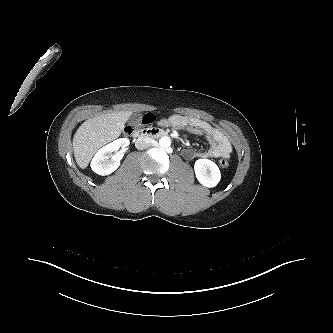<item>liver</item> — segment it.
<instances>
[{
  "instance_id": "liver-1",
  "label": "liver",
  "mask_w": 333,
  "mask_h": 333,
  "mask_svg": "<svg viewBox=\"0 0 333 333\" xmlns=\"http://www.w3.org/2000/svg\"><path fill=\"white\" fill-rule=\"evenodd\" d=\"M130 116L129 112H109L86 120L73 138L78 166L86 168L99 148L119 137Z\"/></svg>"
}]
</instances>
